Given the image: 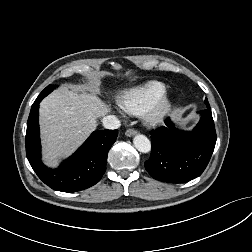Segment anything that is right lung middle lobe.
<instances>
[{
    "instance_id": "right-lung-middle-lobe-1",
    "label": "right lung middle lobe",
    "mask_w": 252,
    "mask_h": 252,
    "mask_svg": "<svg viewBox=\"0 0 252 252\" xmlns=\"http://www.w3.org/2000/svg\"><path fill=\"white\" fill-rule=\"evenodd\" d=\"M56 88V85H48L41 93L40 96H47L50 92L53 91V89Z\"/></svg>"
}]
</instances>
